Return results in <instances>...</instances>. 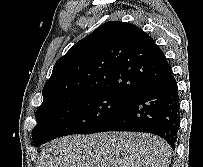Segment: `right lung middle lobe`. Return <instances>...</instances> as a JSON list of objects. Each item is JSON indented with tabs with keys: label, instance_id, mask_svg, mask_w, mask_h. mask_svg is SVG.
I'll return each instance as SVG.
<instances>
[{
	"label": "right lung middle lobe",
	"instance_id": "1",
	"mask_svg": "<svg viewBox=\"0 0 203 167\" xmlns=\"http://www.w3.org/2000/svg\"><path fill=\"white\" fill-rule=\"evenodd\" d=\"M128 101L117 94L96 93L36 111L37 124L32 130V140L39 147L58 137L91 134Z\"/></svg>",
	"mask_w": 203,
	"mask_h": 167
}]
</instances>
